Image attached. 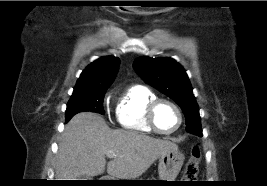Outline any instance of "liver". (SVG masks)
<instances>
[{
  "label": "liver",
  "instance_id": "liver-1",
  "mask_svg": "<svg viewBox=\"0 0 267 186\" xmlns=\"http://www.w3.org/2000/svg\"><path fill=\"white\" fill-rule=\"evenodd\" d=\"M171 141L143 133L112 130L92 112L76 114L65 126L56 160L57 180H77L101 175L107 152L115 157L107 163L112 178L134 179L145 173L163 153L177 149Z\"/></svg>",
  "mask_w": 267,
  "mask_h": 186
}]
</instances>
